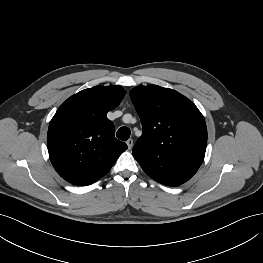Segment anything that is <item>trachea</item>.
Listing matches in <instances>:
<instances>
[{
    "mask_svg": "<svg viewBox=\"0 0 263 263\" xmlns=\"http://www.w3.org/2000/svg\"><path fill=\"white\" fill-rule=\"evenodd\" d=\"M130 129L127 128V127H121L117 133H116V136L122 140V141H126L128 140V138L130 137Z\"/></svg>",
    "mask_w": 263,
    "mask_h": 263,
    "instance_id": "obj_1",
    "label": "trachea"
}]
</instances>
